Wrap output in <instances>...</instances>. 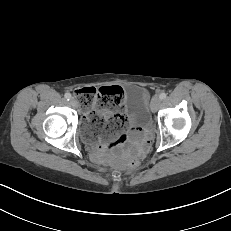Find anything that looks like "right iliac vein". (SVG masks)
Listing matches in <instances>:
<instances>
[{
    "label": "right iliac vein",
    "mask_w": 231,
    "mask_h": 231,
    "mask_svg": "<svg viewBox=\"0 0 231 231\" xmlns=\"http://www.w3.org/2000/svg\"><path fill=\"white\" fill-rule=\"evenodd\" d=\"M70 105L73 107V108H77L78 107V102L76 99L72 98L70 100Z\"/></svg>",
    "instance_id": "obj_1"
}]
</instances>
